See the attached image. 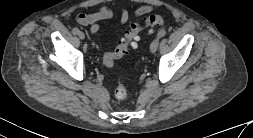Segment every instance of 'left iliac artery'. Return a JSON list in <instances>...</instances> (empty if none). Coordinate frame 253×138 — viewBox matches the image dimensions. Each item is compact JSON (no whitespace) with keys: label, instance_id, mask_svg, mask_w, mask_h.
<instances>
[{"label":"left iliac artery","instance_id":"obj_1","mask_svg":"<svg viewBox=\"0 0 253 138\" xmlns=\"http://www.w3.org/2000/svg\"><path fill=\"white\" fill-rule=\"evenodd\" d=\"M166 34V31L164 29L160 30L157 34V38H162L164 37Z\"/></svg>","mask_w":253,"mask_h":138}]
</instances>
